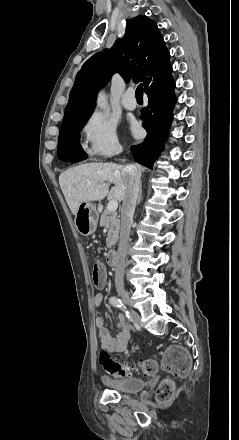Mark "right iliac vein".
<instances>
[{
	"label": "right iliac vein",
	"instance_id": "1",
	"mask_svg": "<svg viewBox=\"0 0 239 440\" xmlns=\"http://www.w3.org/2000/svg\"><path fill=\"white\" fill-rule=\"evenodd\" d=\"M124 300H125L126 303L129 302L128 298H126V297L124 298ZM131 316H132V318H134L136 321H139V320H140V317H139L138 313L135 312L134 310H131Z\"/></svg>",
	"mask_w": 239,
	"mask_h": 440
}]
</instances>
